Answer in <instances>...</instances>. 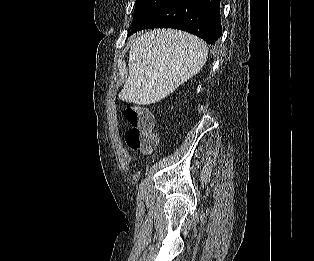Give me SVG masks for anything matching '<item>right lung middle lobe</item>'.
Returning a JSON list of instances; mask_svg holds the SVG:
<instances>
[{"instance_id": "right-lung-middle-lobe-1", "label": "right lung middle lobe", "mask_w": 314, "mask_h": 261, "mask_svg": "<svg viewBox=\"0 0 314 261\" xmlns=\"http://www.w3.org/2000/svg\"><path fill=\"white\" fill-rule=\"evenodd\" d=\"M169 1L170 0H137L132 25L141 24Z\"/></svg>"}]
</instances>
